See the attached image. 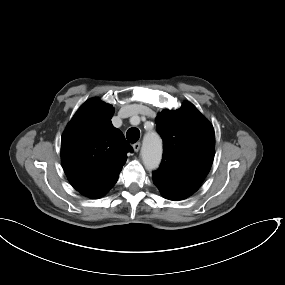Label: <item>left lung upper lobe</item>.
Here are the masks:
<instances>
[{
	"label": "left lung upper lobe",
	"instance_id": "1",
	"mask_svg": "<svg viewBox=\"0 0 285 285\" xmlns=\"http://www.w3.org/2000/svg\"><path fill=\"white\" fill-rule=\"evenodd\" d=\"M155 122L164 144L159 170L201 184L214 159L213 126L188 101L178 110H163Z\"/></svg>",
	"mask_w": 285,
	"mask_h": 285
}]
</instances>
